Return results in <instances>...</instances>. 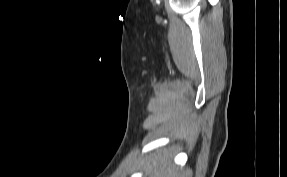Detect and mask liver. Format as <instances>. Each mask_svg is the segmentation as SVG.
Here are the masks:
<instances>
[{
	"label": "liver",
	"mask_w": 287,
	"mask_h": 177,
	"mask_svg": "<svg viewBox=\"0 0 287 177\" xmlns=\"http://www.w3.org/2000/svg\"><path fill=\"white\" fill-rule=\"evenodd\" d=\"M175 152L158 153L157 159L148 166V177H187L178 167L171 164Z\"/></svg>",
	"instance_id": "6515ba94"
}]
</instances>
